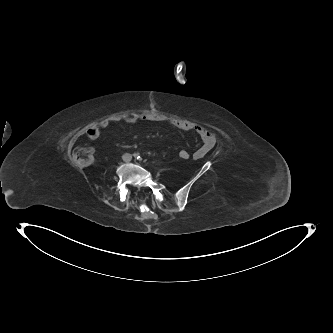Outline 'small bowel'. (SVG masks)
I'll return each mask as SVG.
<instances>
[{"instance_id":"1","label":"small bowel","mask_w":333,"mask_h":333,"mask_svg":"<svg viewBox=\"0 0 333 333\" xmlns=\"http://www.w3.org/2000/svg\"><path fill=\"white\" fill-rule=\"evenodd\" d=\"M139 121L161 122L162 119L152 115H131L125 119V122L129 125H134ZM113 122L117 121L102 120L98 122L87 130V138L89 140H96L100 136L101 130L108 128ZM171 124L183 131H193L200 137L202 145L192 155L195 160L204 158L215 146V135L207 128L184 119H174L171 121Z\"/></svg>"}]
</instances>
